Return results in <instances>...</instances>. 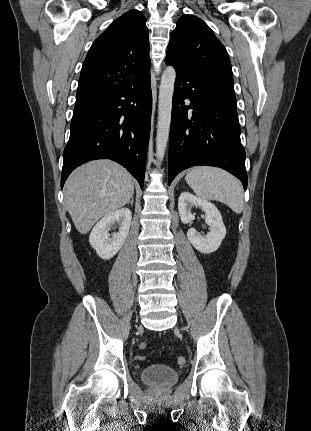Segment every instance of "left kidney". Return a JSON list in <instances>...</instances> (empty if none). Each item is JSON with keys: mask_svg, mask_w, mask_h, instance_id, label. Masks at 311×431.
I'll list each match as a JSON object with an SVG mask.
<instances>
[{"mask_svg": "<svg viewBox=\"0 0 311 431\" xmlns=\"http://www.w3.org/2000/svg\"><path fill=\"white\" fill-rule=\"evenodd\" d=\"M200 208L205 212L206 223L210 225L207 235H201L196 231L195 227H190L187 231V237L192 245L201 251V253H212L221 245L222 239L226 235V227L223 223L222 216L214 204L193 196L190 192H182L178 200V212L183 223H189L195 219V214H192V208Z\"/></svg>", "mask_w": 311, "mask_h": 431, "instance_id": "obj_1", "label": "left kidney"}]
</instances>
